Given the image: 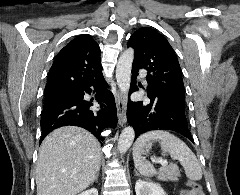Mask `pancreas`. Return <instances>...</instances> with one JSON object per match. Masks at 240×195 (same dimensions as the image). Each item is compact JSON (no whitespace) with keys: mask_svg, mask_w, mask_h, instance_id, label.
<instances>
[{"mask_svg":"<svg viewBox=\"0 0 240 195\" xmlns=\"http://www.w3.org/2000/svg\"><path fill=\"white\" fill-rule=\"evenodd\" d=\"M178 177H180L178 165L159 167L157 179H161V181H178Z\"/></svg>","mask_w":240,"mask_h":195,"instance_id":"obj_1","label":"pancreas"}]
</instances>
